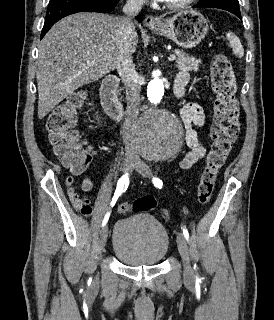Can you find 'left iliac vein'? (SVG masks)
I'll return each instance as SVG.
<instances>
[{"label":"left iliac vein","mask_w":274,"mask_h":320,"mask_svg":"<svg viewBox=\"0 0 274 320\" xmlns=\"http://www.w3.org/2000/svg\"><path fill=\"white\" fill-rule=\"evenodd\" d=\"M134 168L143 177H150L152 175L151 169L143 161L138 160L136 162V165L134 166ZM177 245H178L179 253H180L182 260H183L184 278L187 281H191L193 278V269L190 264L189 249H188L186 239L181 232H179L177 234Z\"/></svg>","instance_id":"left-iliac-vein-1"}]
</instances>
